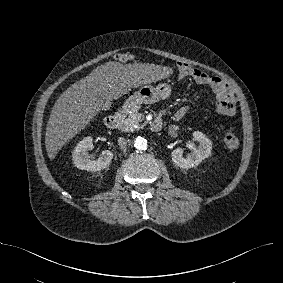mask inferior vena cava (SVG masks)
Wrapping results in <instances>:
<instances>
[{
    "label": "inferior vena cava",
    "mask_w": 283,
    "mask_h": 283,
    "mask_svg": "<svg viewBox=\"0 0 283 283\" xmlns=\"http://www.w3.org/2000/svg\"><path fill=\"white\" fill-rule=\"evenodd\" d=\"M127 143H128V140H126L124 137H119L118 138V145L124 151H126V149H127Z\"/></svg>",
    "instance_id": "obj_1"
}]
</instances>
